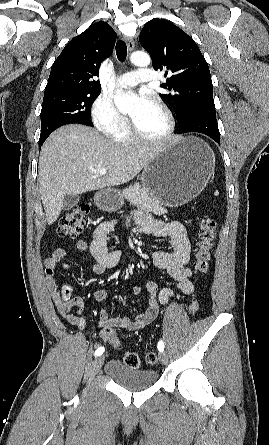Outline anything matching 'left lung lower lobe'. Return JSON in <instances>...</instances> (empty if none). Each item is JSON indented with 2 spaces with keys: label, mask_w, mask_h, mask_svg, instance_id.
<instances>
[{
  "label": "left lung lower lobe",
  "mask_w": 269,
  "mask_h": 445,
  "mask_svg": "<svg viewBox=\"0 0 269 445\" xmlns=\"http://www.w3.org/2000/svg\"><path fill=\"white\" fill-rule=\"evenodd\" d=\"M187 132H199L205 134L220 144V133L214 114H200L189 120L179 128L178 134Z\"/></svg>",
  "instance_id": "1"
}]
</instances>
